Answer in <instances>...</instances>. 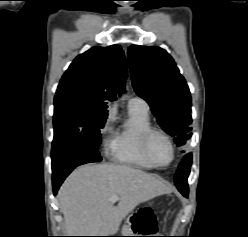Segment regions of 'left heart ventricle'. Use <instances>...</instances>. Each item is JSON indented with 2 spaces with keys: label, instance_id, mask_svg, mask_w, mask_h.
<instances>
[{
  "label": "left heart ventricle",
  "instance_id": "left-heart-ventricle-1",
  "mask_svg": "<svg viewBox=\"0 0 248 237\" xmlns=\"http://www.w3.org/2000/svg\"><path fill=\"white\" fill-rule=\"evenodd\" d=\"M149 152L152 159L160 165H165L171 158V148L160 135H153L149 142Z\"/></svg>",
  "mask_w": 248,
  "mask_h": 237
}]
</instances>
